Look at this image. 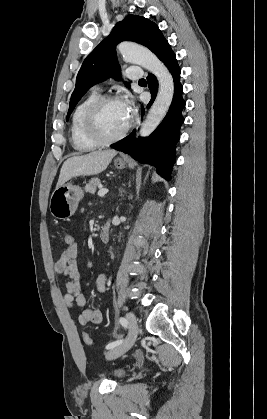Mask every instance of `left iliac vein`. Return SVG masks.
Here are the masks:
<instances>
[{
    "mask_svg": "<svg viewBox=\"0 0 267 419\" xmlns=\"http://www.w3.org/2000/svg\"><path fill=\"white\" fill-rule=\"evenodd\" d=\"M126 320L128 322L129 332L126 339L118 346L112 348L106 353L107 359L113 360L119 358L121 355L126 353L135 343L138 335V325L135 316L128 312L126 314Z\"/></svg>",
    "mask_w": 267,
    "mask_h": 419,
    "instance_id": "4c4485c4",
    "label": "left iliac vein"
}]
</instances>
